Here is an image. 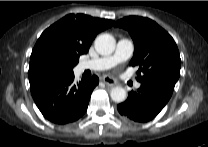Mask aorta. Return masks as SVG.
<instances>
[{
  "mask_svg": "<svg viewBox=\"0 0 208 147\" xmlns=\"http://www.w3.org/2000/svg\"><path fill=\"white\" fill-rule=\"evenodd\" d=\"M116 46L115 38L107 33L100 34L95 39V49L101 55H109L114 52ZM114 102L121 103L126 100L127 93L122 87H114L110 93Z\"/></svg>",
  "mask_w": 208,
  "mask_h": 147,
  "instance_id": "aorta-1",
  "label": "aorta"
}]
</instances>
